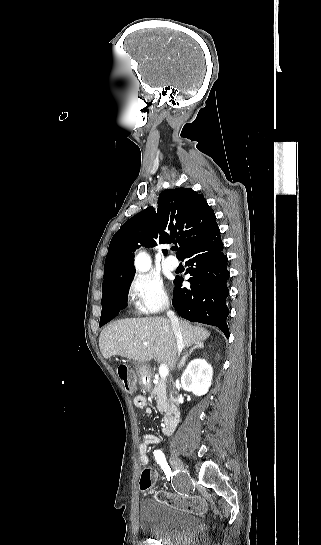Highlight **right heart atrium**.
I'll use <instances>...</instances> for the list:
<instances>
[{
  "instance_id": "obj_1",
  "label": "right heart atrium",
  "mask_w": 321,
  "mask_h": 545,
  "mask_svg": "<svg viewBox=\"0 0 321 545\" xmlns=\"http://www.w3.org/2000/svg\"><path fill=\"white\" fill-rule=\"evenodd\" d=\"M127 297L134 312L140 315L158 314L170 305L161 279L152 272L134 274L127 287Z\"/></svg>"
}]
</instances>
